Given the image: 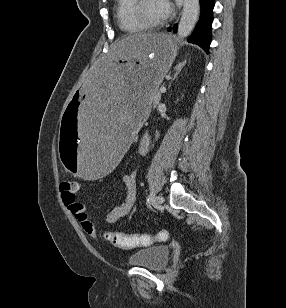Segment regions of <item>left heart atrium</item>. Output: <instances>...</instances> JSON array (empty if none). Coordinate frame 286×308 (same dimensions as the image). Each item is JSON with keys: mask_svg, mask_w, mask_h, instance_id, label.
<instances>
[{"mask_svg": "<svg viewBox=\"0 0 286 308\" xmlns=\"http://www.w3.org/2000/svg\"><path fill=\"white\" fill-rule=\"evenodd\" d=\"M162 3H163L165 15L167 17L171 12L170 3L168 2V0H162Z\"/></svg>", "mask_w": 286, "mask_h": 308, "instance_id": "1", "label": "left heart atrium"}]
</instances>
